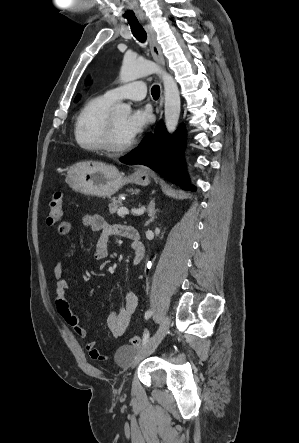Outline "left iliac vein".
Segmentation results:
<instances>
[{"label":"left iliac vein","instance_id":"1","mask_svg":"<svg viewBox=\"0 0 299 443\" xmlns=\"http://www.w3.org/2000/svg\"><path fill=\"white\" fill-rule=\"evenodd\" d=\"M169 327H170L169 317L165 316L163 318L157 332L154 334V336L148 341V343L145 345V347L135 355V357L131 363L132 368H134L145 357H147L152 352H154V350L157 348L159 343L162 341V339L168 333Z\"/></svg>","mask_w":299,"mask_h":443}]
</instances>
